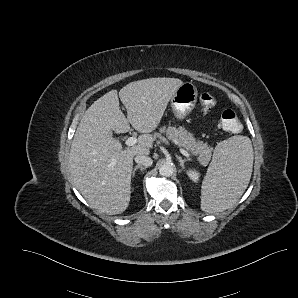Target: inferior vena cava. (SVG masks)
I'll list each match as a JSON object with an SVG mask.
<instances>
[{"label":"inferior vena cava","mask_w":298,"mask_h":298,"mask_svg":"<svg viewBox=\"0 0 298 298\" xmlns=\"http://www.w3.org/2000/svg\"><path fill=\"white\" fill-rule=\"evenodd\" d=\"M134 159H135V162L138 163L139 165L150 167L153 164L152 158L147 155H137L135 156Z\"/></svg>","instance_id":"602c4592"}]
</instances>
